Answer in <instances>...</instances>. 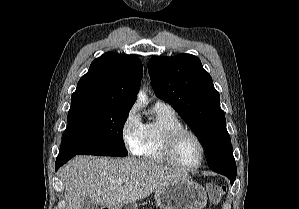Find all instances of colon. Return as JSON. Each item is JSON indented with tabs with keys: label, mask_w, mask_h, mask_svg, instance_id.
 <instances>
[{
	"label": "colon",
	"mask_w": 299,
	"mask_h": 209,
	"mask_svg": "<svg viewBox=\"0 0 299 209\" xmlns=\"http://www.w3.org/2000/svg\"><path fill=\"white\" fill-rule=\"evenodd\" d=\"M209 199L212 203H218L226 193V186L218 183H209L206 186Z\"/></svg>",
	"instance_id": "obj_1"
}]
</instances>
